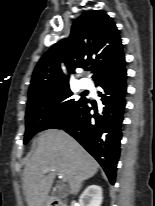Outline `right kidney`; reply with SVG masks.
Returning a JSON list of instances; mask_svg holds the SVG:
<instances>
[{
	"label": "right kidney",
	"mask_w": 155,
	"mask_h": 206,
	"mask_svg": "<svg viewBox=\"0 0 155 206\" xmlns=\"http://www.w3.org/2000/svg\"><path fill=\"white\" fill-rule=\"evenodd\" d=\"M102 188L98 185L88 186L79 197L80 206H101Z\"/></svg>",
	"instance_id": "1"
}]
</instances>
